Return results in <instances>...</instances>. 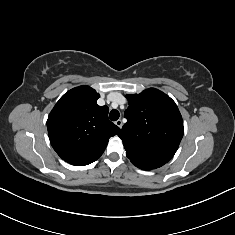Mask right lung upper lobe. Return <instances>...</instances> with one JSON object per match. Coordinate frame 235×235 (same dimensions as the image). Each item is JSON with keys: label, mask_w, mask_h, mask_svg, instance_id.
I'll use <instances>...</instances> for the list:
<instances>
[{"label": "right lung upper lobe", "mask_w": 235, "mask_h": 235, "mask_svg": "<svg viewBox=\"0 0 235 235\" xmlns=\"http://www.w3.org/2000/svg\"><path fill=\"white\" fill-rule=\"evenodd\" d=\"M99 96L89 86L73 88L49 114L47 129L51 145L72 165L84 166L97 160L109 138L120 130L108 119V107L97 105Z\"/></svg>", "instance_id": "obj_1"}]
</instances>
